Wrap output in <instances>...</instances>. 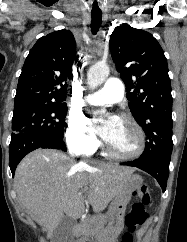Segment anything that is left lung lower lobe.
Instances as JSON below:
<instances>
[{
  "label": "left lung lower lobe",
  "instance_id": "0a47b994",
  "mask_svg": "<svg viewBox=\"0 0 187 242\" xmlns=\"http://www.w3.org/2000/svg\"><path fill=\"white\" fill-rule=\"evenodd\" d=\"M171 154L159 155L154 157H140L134 161L121 163L122 165L137 167L152 175L160 184L162 191L165 192L167 179L169 176V164Z\"/></svg>",
  "mask_w": 187,
  "mask_h": 242
}]
</instances>
